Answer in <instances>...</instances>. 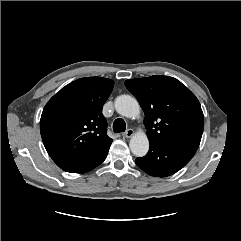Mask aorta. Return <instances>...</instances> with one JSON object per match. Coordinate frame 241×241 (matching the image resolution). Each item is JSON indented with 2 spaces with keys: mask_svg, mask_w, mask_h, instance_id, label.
<instances>
[{
  "mask_svg": "<svg viewBox=\"0 0 241 241\" xmlns=\"http://www.w3.org/2000/svg\"><path fill=\"white\" fill-rule=\"evenodd\" d=\"M116 111L127 118H135L140 113L138 101L130 95H120L115 99ZM131 152L137 157H143L149 150V140L145 133L134 134L129 142Z\"/></svg>",
  "mask_w": 241,
  "mask_h": 241,
  "instance_id": "762f6f07",
  "label": "aorta"
}]
</instances>
